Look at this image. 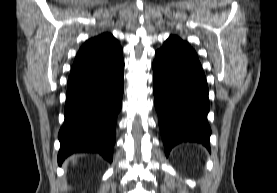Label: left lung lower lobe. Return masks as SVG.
<instances>
[{
  "label": "left lung lower lobe",
  "instance_id": "obj_1",
  "mask_svg": "<svg viewBox=\"0 0 277 193\" xmlns=\"http://www.w3.org/2000/svg\"><path fill=\"white\" fill-rule=\"evenodd\" d=\"M153 93L166 155L185 141L199 142L210 150L206 77L196 52L176 36L156 51Z\"/></svg>",
  "mask_w": 277,
  "mask_h": 193
}]
</instances>
